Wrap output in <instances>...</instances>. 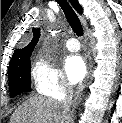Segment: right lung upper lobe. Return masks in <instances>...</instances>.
Listing matches in <instances>:
<instances>
[{
    "label": "right lung upper lobe",
    "instance_id": "cb5924a9",
    "mask_svg": "<svg viewBox=\"0 0 122 123\" xmlns=\"http://www.w3.org/2000/svg\"><path fill=\"white\" fill-rule=\"evenodd\" d=\"M70 2L73 5V7L76 9V11L81 14L82 13L81 12V6L78 3V1L77 0H70ZM32 31H33L32 41L25 48L16 49L14 51V54L10 60V63H9V70L19 66L24 61L30 59L31 53H32V51H33V49H34V47H35V45L38 42V39L40 37L39 30L33 29Z\"/></svg>",
    "mask_w": 122,
    "mask_h": 123
}]
</instances>
